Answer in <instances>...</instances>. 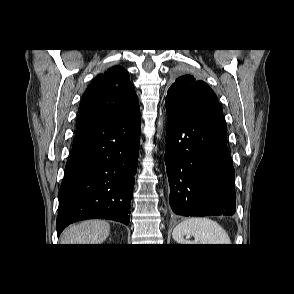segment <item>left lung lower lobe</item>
Instances as JSON below:
<instances>
[{"label":"left lung lower lobe","instance_id":"obj_1","mask_svg":"<svg viewBox=\"0 0 294 294\" xmlns=\"http://www.w3.org/2000/svg\"><path fill=\"white\" fill-rule=\"evenodd\" d=\"M165 105L172 211L182 216L233 215L235 170L223 114H190L170 102Z\"/></svg>","mask_w":294,"mask_h":294}]
</instances>
